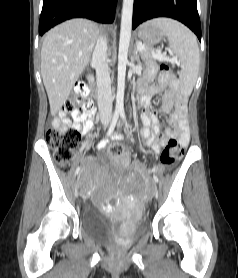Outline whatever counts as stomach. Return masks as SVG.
<instances>
[{"mask_svg": "<svg viewBox=\"0 0 238 278\" xmlns=\"http://www.w3.org/2000/svg\"><path fill=\"white\" fill-rule=\"evenodd\" d=\"M138 37L146 45L152 46L160 43L165 37V34L160 28L150 23H145L139 27Z\"/></svg>", "mask_w": 238, "mask_h": 278, "instance_id": "0dacf381", "label": "stomach"}]
</instances>
